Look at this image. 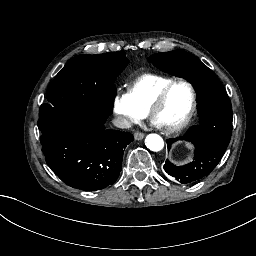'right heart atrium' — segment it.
I'll return each instance as SVG.
<instances>
[{"label":"right heart atrium","instance_id":"d8ad5b80","mask_svg":"<svg viewBox=\"0 0 256 256\" xmlns=\"http://www.w3.org/2000/svg\"><path fill=\"white\" fill-rule=\"evenodd\" d=\"M131 99V93H124L117 95L114 101V114L124 117L127 124L140 120V114L130 107Z\"/></svg>","mask_w":256,"mask_h":256}]
</instances>
